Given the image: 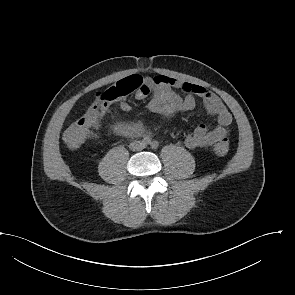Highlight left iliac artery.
Segmentation results:
<instances>
[{
    "mask_svg": "<svg viewBox=\"0 0 295 295\" xmlns=\"http://www.w3.org/2000/svg\"><path fill=\"white\" fill-rule=\"evenodd\" d=\"M150 146H151L152 149H158V147H159V142L156 141V140H154V141H152V142L150 143Z\"/></svg>",
    "mask_w": 295,
    "mask_h": 295,
    "instance_id": "left-iliac-artery-1",
    "label": "left iliac artery"
}]
</instances>
